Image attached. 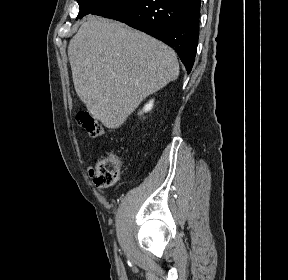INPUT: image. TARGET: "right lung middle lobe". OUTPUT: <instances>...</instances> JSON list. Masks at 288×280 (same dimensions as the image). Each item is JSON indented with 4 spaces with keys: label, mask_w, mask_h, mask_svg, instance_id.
I'll return each mask as SVG.
<instances>
[{
    "label": "right lung middle lobe",
    "mask_w": 288,
    "mask_h": 280,
    "mask_svg": "<svg viewBox=\"0 0 288 280\" xmlns=\"http://www.w3.org/2000/svg\"><path fill=\"white\" fill-rule=\"evenodd\" d=\"M110 0H77L80 12L76 18H82L83 16L92 13L94 10H96L101 5L107 3Z\"/></svg>",
    "instance_id": "obj_1"
}]
</instances>
